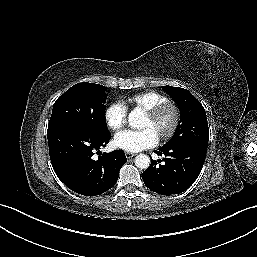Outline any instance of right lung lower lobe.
Segmentation results:
<instances>
[{"instance_id": "obj_1", "label": "right lung lower lobe", "mask_w": 257, "mask_h": 257, "mask_svg": "<svg viewBox=\"0 0 257 257\" xmlns=\"http://www.w3.org/2000/svg\"><path fill=\"white\" fill-rule=\"evenodd\" d=\"M50 159L53 169L72 191L96 196L111 189L127 162L122 150L103 153L95 159L94 152L109 142L111 134L98 135L76 124L48 128Z\"/></svg>"}]
</instances>
